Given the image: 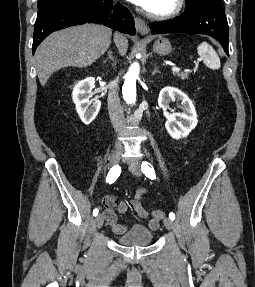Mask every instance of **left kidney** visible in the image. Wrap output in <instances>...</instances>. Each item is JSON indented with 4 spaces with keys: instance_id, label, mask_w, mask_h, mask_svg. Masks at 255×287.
<instances>
[{
    "instance_id": "5707ae66",
    "label": "left kidney",
    "mask_w": 255,
    "mask_h": 287,
    "mask_svg": "<svg viewBox=\"0 0 255 287\" xmlns=\"http://www.w3.org/2000/svg\"><path fill=\"white\" fill-rule=\"evenodd\" d=\"M173 100H181L182 114H178V112L177 114L175 112L171 114V112H168L170 110L169 104ZM158 104L167 120L165 128L175 140L186 138L189 132L197 126L196 110L188 96L181 90H178V88H171V86L163 88L159 94Z\"/></svg>"
}]
</instances>
